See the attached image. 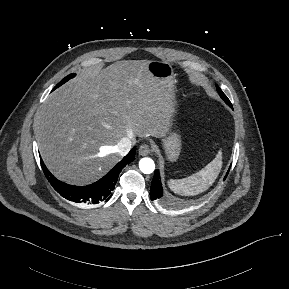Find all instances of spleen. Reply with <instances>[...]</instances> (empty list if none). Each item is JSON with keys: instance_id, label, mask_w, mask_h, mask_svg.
Returning <instances> with one entry per match:
<instances>
[{"instance_id": "3e777b00", "label": "spleen", "mask_w": 289, "mask_h": 289, "mask_svg": "<svg viewBox=\"0 0 289 289\" xmlns=\"http://www.w3.org/2000/svg\"><path fill=\"white\" fill-rule=\"evenodd\" d=\"M222 152L219 151L214 160L197 173L183 179H171L169 188L177 194L193 196L207 190L216 180L222 168Z\"/></svg>"}]
</instances>
